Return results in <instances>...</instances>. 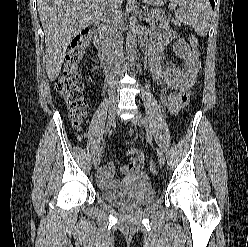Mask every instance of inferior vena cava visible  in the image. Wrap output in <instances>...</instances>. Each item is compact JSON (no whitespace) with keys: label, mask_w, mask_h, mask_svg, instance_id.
<instances>
[{"label":"inferior vena cava","mask_w":248,"mask_h":247,"mask_svg":"<svg viewBox=\"0 0 248 247\" xmlns=\"http://www.w3.org/2000/svg\"><path fill=\"white\" fill-rule=\"evenodd\" d=\"M121 2V0H107L103 11V20L111 38V57L115 61L116 71H119V62L123 59Z\"/></svg>","instance_id":"inferior-vena-cava-1"}]
</instances>
